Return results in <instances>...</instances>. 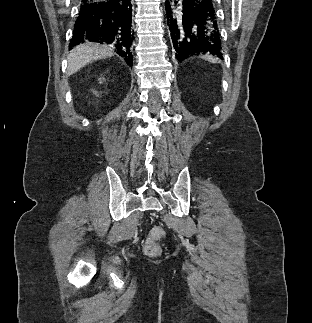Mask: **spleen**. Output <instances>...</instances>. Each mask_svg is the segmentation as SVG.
I'll return each mask as SVG.
<instances>
[{
    "label": "spleen",
    "instance_id": "1",
    "mask_svg": "<svg viewBox=\"0 0 312 323\" xmlns=\"http://www.w3.org/2000/svg\"><path fill=\"white\" fill-rule=\"evenodd\" d=\"M206 60H211V58H206ZM212 62H215V60H212Z\"/></svg>",
    "mask_w": 312,
    "mask_h": 323
}]
</instances>
